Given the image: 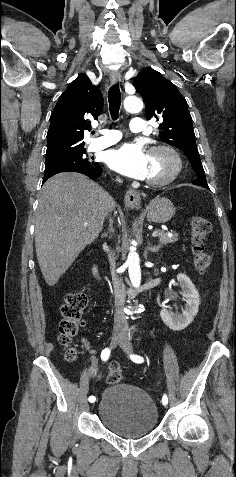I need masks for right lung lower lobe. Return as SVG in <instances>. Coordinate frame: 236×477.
Masks as SVG:
<instances>
[{
    "label": "right lung lower lobe",
    "instance_id": "98d812e1",
    "mask_svg": "<svg viewBox=\"0 0 236 477\" xmlns=\"http://www.w3.org/2000/svg\"><path fill=\"white\" fill-rule=\"evenodd\" d=\"M70 172H77V173H81V174H84L86 176H88L89 178H91L92 180H95L96 178H98L101 174H102V168L98 165L97 167H95L94 169L92 170H85V169H74V170H71ZM57 174V173H56ZM55 174H46L44 175V178H43V183L49 179L51 176H53Z\"/></svg>",
    "mask_w": 236,
    "mask_h": 477
}]
</instances>
